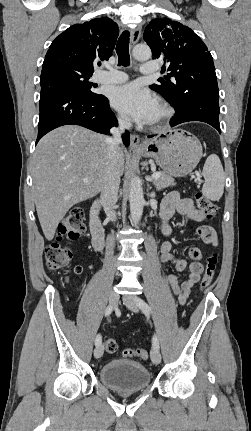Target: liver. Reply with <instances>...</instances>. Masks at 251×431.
<instances>
[{
    "mask_svg": "<svg viewBox=\"0 0 251 431\" xmlns=\"http://www.w3.org/2000/svg\"><path fill=\"white\" fill-rule=\"evenodd\" d=\"M104 135L77 125H65L38 143L32 166L36 211L47 240L54 238L69 209L102 192L106 184L108 144ZM122 148L117 169L124 171ZM88 182L84 183L83 179Z\"/></svg>",
    "mask_w": 251,
    "mask_h": 431,
    "instance_id": "liver-1",
    "label": "liver"
}]
</instances>
